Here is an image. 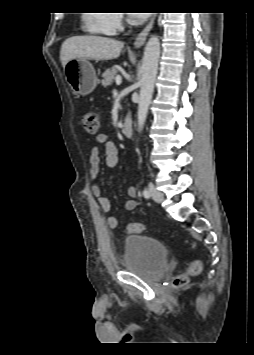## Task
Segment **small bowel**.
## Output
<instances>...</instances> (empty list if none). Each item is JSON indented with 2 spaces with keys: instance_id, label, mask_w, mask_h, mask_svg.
Masks as SVG:
<instances>
[{
  "instance_id": "small-bowel-1",
  "label": "small bowel",
  "mask_w": 254,
  "mask_h": 355,
  "mask_svg": "<svg viewBox=\"0 0 254 355\" xmlns=\"http://www.w3.org/2000/svg\"><path fill=\"white\" fill-rule=\"evenodd\" d=\"M97 145H95L90 152L89 157V173L92 179H96L100 171V160H101V146L103 147L105 154V165L109 169H113L118 164V148L115 143L109 138L105 133L98 134L96 136ZM91 192L93 196L98 199L99 205L104 212H109L111 205L107 197L103 196L101 187L97 184L92 185ZM127 193L130 197L129 200L125 202V209L127 211H132L136 208L137 203L135 197L137 196V188L131 185ZM107 226L110 229H116L118 227L117 218L110 216L106 220Z\"/></svg>"
}]
</instances>
